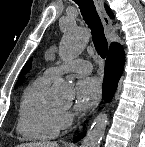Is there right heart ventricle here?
<instances>
[{"label":"right heart ventricle","instance_id":"1","mask_svg":"<svg viewBox=\"0 0 145 147\" xmlns=\"http://www.w3.org/2000/svg\"><path fill=\"white\" fill-rule=\"evenodd\" d=\"M37 77L24 91L17 118V132L30 140H47L59 132L60 109L47 98L50 82Z\"/></svg>","mask_w":145,"mask_h":147}]
</instances>
